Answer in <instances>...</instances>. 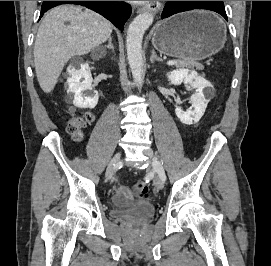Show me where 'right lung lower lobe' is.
I'll return each instance as SVG.
<instances>
[{"instance_id":"obj_1","label":"right lung lower lobe","mask_w":271,"mask_h":266,"mask_svg":"<svg viewBox=\"0 0 271 266\" xmlns=\"http://www.w3.org/2000/svg\"><path fill=\"white\" fill-rule=\"evenodd\" d=\"M61 4L85 6L110 20L120 30H123V26L131 13L129 4L120 1H44L41 7L40 18L44 15V12Z\"/></svg>"}]
</instances>
